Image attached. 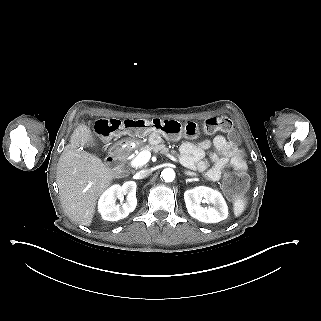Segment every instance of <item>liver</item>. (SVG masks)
<instances>
[{"instance_id":"6515ba94","label":"liver","mask_w":321,"mask_h":321,"mask_svg":"<svg viewBox=\"0 0 321 321\" xmlns=\"http://www.w3.org/2000/svg\"><path fill=\"white\" fill-rule=\"evenodd\" d=\"M93 145L91 130L79 125L71 135L57 164V184L61 204L69 218L90 226L98 197L109 187L114 173L101 159L81 149Z\"/></svg>"}]
</instances>
